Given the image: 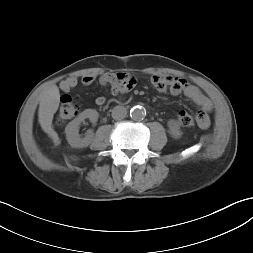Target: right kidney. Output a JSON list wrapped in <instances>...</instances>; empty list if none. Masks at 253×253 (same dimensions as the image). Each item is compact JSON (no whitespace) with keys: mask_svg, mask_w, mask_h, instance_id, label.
<instances>
[{"mask_svg":"<svg viewBox=\"0 0 253 253\" xmlns=\"http://www.w3.org/2000/svg\"><path fill=\"white\" fill-rule=\"evenodd\" d=\"M86 118H89L92 123H96L98 120V112L94 109H86L66 126L65 128L66 139L71 147L74 148L88 147L92 142L94 135L91 131H89L84 138H81L79 135V125Z\"/></svg>","mask_w":253,"mask_h":253,"instance_id":"ca27d5eb","label":"right kidney"}]
</instances>
